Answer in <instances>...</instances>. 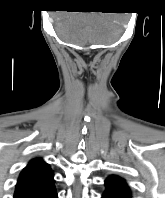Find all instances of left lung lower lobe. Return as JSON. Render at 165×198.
I'll return each instance as SVG.
<instances>
[{"mask_svg":"<svg viewBox=\"0 0 165 198\" xmlns=\"http://www.w3.org/2000/svg\"><path fill=\"white\" fill-rule=\"evenodd\" d=\"M106 189L102 198H131L132 193L125 179L111 175L105 180Z\"/></svg>","mask_w":165,"mask_h":198,"instance_id":"1","label":"left lung lower lobe"}]
</instances>
